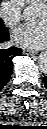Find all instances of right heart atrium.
<instances>
[{"mask_svg":"<svg viewBox=\"0 0 47 129\" xmlns=\"http://www.w3.org/2000/svg\"><path fill=\"white\" fill-rule=\"evenodd\" d=\"M23 9L22 0H2L0 17L9 27H15L23 18Z\"/></svg>","mask_w":47,"mask_h":129,"instance_id":"right-heart-atrium-1","label":"right heart atrium"}]
</instances>
